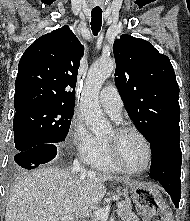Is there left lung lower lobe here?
Here are the masks:
<instances>
[{"label":"left lung lower lobe","mask_w":190,"mask_h":221,"mask_svg":"<svg viewBox=\"0 0 190 221\" xmlns=\"http://www.w3.org/2000/svg\"><path fill=\"white\" fill-rule=\"evenodd\" d=\"M179 141L180 131H168L157 135L150 142L152 152L150 177L164 187L176 207H179L181 198L182 153Z\"/></svg>","instance_id":"1"}]
</instances>
